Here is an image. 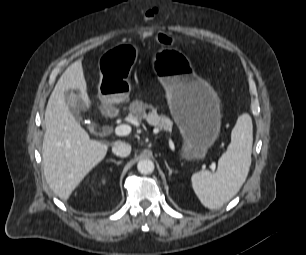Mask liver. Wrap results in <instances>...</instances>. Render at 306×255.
<instances>
[{"instance_id":"6515ba94","label":"liver","mask_w":306,"mask_h":255,"mask_svg":"<svg viewBox=\"0 0 306 255\" xmlns=\"http://www.w3.org/2000/svg\"><path fill=\"white\" fill-rule=\"evenodd\" d=\"M70 89L79 90L84 105L91 107L81 61H75L62 74L45 111L44 175L50 188L62 200L70 197L108 150V144L91 140L69 111L64 92Z\"/></svg>"}]
</instances>
